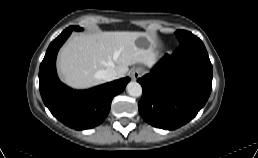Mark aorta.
<instances>
[{"mask_svg": "<svg viewBox=\"0 0 258 158\" xmlns=\"http://www.w3.org/2000/svg\"><path fill=\"white\" fill-rule=\"evenodd\" d=\"M127 92L130 96L139 97L142 95V87L136 81H131L127 84Z\"/></svg>", "mask_w": 258, "mask_h": 158, "instance_id": "1", "label": "aorta"}]
</instances>
